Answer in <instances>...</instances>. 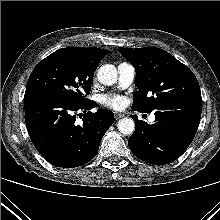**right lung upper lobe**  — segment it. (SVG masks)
Returning <instances> with one entry per match:
<instances>
[{"mask_svg": "<svg viewBox=\"0 0 220 220\" xmlns=\"http://www.w3.org/2000/svg\"><path fill=\"white\" fill-rule=\"evenodd\" d=\"M70 49L78 53L86 61L97 64V65L107 53L106 50L95 48V47H91V48L72 47Z\"/></svg>", "mask_w": 220, "mask_h": 220, "instance_id": "right-lung-upper-lobe-1", "label": "right lung upper lobe"}]
</instances>
